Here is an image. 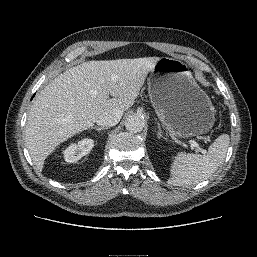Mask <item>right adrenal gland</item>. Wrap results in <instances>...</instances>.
<instances>
[{
  "instance_id": "right-adrenal-gland-1",
  "label": "right adrenal gland",
  "mask_w": 257,
  "mask_h": 257,
  "mask_svg": "<svg viewBox=\"0 0 257 257\" xmlns=\"http://www.w3.org/2000/svg\"><path fill=\"white\" fill-rule=\"evenodd\" d=\"M91 129H95V130H97V131L99 132V131H101V130H106V129H108V128H107V127H97V126H94V127H93V126H92Z\"/></svg>"
}]
</instances>
